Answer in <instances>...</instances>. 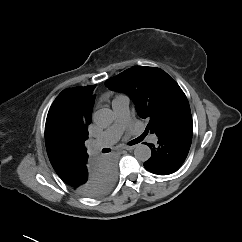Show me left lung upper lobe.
Instances as JSON below:
<instances>
[{"instance_id": "5c2ea615", "label": "left lung upper lobe", "mask_w": 242, "mask_h": 242, "mask_svg": "<svg viewBox=\"0 0 242 242\" xmlns=\"http://www.w3.org/2000/svg\"><path fill=\"white\" fill-rule=\"evenodd\" d=\"M112 90L124 91L133 98L137 114L149 120L145 132L159 134L192 119L189 102L179 85L156 67L134 66L105 81Z\"/></svg>"}]
</instances>
